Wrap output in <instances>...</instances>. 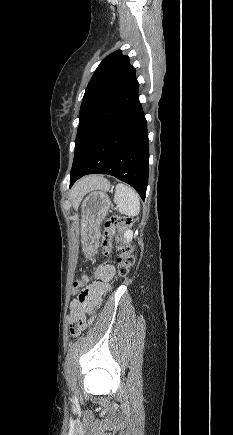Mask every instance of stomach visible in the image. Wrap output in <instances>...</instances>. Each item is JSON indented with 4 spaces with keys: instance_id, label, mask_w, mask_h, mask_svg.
<instances>
[{
    "instance_id": "stomach-1",
    "label": "stomach",
    "mask_w": 233,
    "mask_h": 435,
    "mask_svg": "<svg viewBox=\"0 0 233 435\" xmlns=\"http://www.w3.org/2000/svg\"><path fill=\"white\" fill-rule=\"evenodd\" d=\"M109 183L99 190L90 192L81 205V239L86 257H92L98 248L100 238V224L105 219L111 201L107 195Z\"/></svg>"
}]
</instances>
